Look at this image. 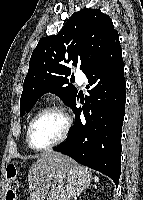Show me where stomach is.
I'll list each match as a JSON object with an SVG mask.
<instances>
[{
    "mask_svg": "<svg viewBox=\"0 0 143 200\" xmlns=\"http://www.w3.org/2000/svg\"><path fill=\"white\" fill-rule=\"evenodd\" d=\"M91 180L92 175L88 168L76 163L66 165L53 176L46 200H70L84 191Z\"/></svg>",
    "mask_w": 143,
    "mask_h": 200,
    "instance_id": "0dacf381",
    "label": "stomach"
}]
</instances>
